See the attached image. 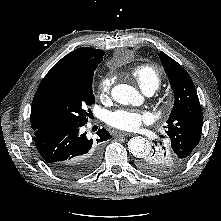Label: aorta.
<instances>
[{
  "label": "aorta",
  "instance_id": "obj_1",
  "mask_svg": "<svg viewBox=\"0 0 221 221\" xmlns=\"http://www.w3.org/2000/svg\"><path fill=\"white\" fill-rule=\"evenodd\" d=\"M111 96L116 102L123 105L137 103L140 98L138 91L134 87L126 84L114 86L111 91ZM149 148V144L145 138L141 136L133 137L128 142L129 152L138 158L149 152Z\"/></svg>",
  "mask_w": 221,
  "mask_h": 221
}]
</instances>
